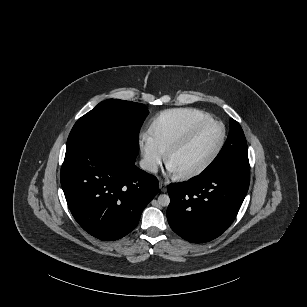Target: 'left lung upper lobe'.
Segmentation results:
<instances>
[{"label": "left lung upper lobe", "instance_id": "5c2ea615", "mask_svg": "<svg viewBox=\"0 0 307 307\" xmlns=\"http://www.w3.org/2000/svg\"><path fill=\"white\" fill-rule=\"evenodd\" d=\"M223 167L249 169L247 142L240 124L234 119L230 120L229 135L221 151L200 175Z\"/></svg>", "mask_w": 307, "mask_h": 307}]
</instances>
